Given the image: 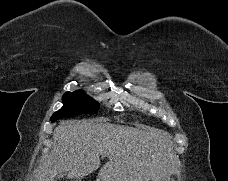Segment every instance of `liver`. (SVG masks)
Listing matches in <instances>:
<instances>
[{
  "mask_svg": "<svg viewBox=\"0 0 228 181\" xmlns=\"http://www.w3.org/2000/svg\"><path fill=\"white\" fill-rule=\"evenodd\" d=\"M51 151L44 155L34 181L84 179L107 157L97 181H167L177 173L178 159L168 133L111 125L107 119L67 121L53 131Z\"/></svg>",
  "mask_w": 228,
  "mask_h": 181,
  "instance_id": "obj_1",
  "label": "liver"
}]
</instances>
